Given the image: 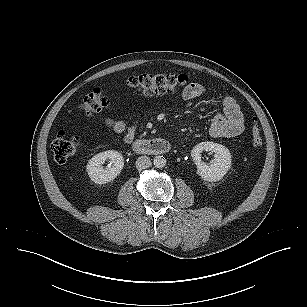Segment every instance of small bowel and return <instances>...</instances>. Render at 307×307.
Returning a JSON list of instances; mask_svg holds the SVG:
<instances>
[{
  "instance_id": "c3829d8e",
  "label": "small bowel",
  "mask_w": 307,
  "mask_h": 307,
  "mask_svg": "<svg viewBox=\"0 0 307 307\" xmlns=\"http://www.w3.org/2000/svg\"><path fill=\"white\" fill-rule=\"evenodd\" d=\"M207 94V89L199 83L189 84L182 93L185 100H193ZM104 124L114 133L122 135L126 143L134 140L137 129V120L128 123L125 120L105 118ZM245 129V119L241 107L236 99L224 96L222 112L215 114L210 121L209 135L212 138H233L239 136Z\"/></svg>"
}]
</instances>
